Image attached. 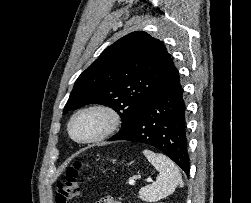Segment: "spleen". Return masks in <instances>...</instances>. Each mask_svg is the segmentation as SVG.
Returning <instances> with one entry per match:
<instances>
[{"label": "spleen", "mask_w": 251, "mask_h": 203, "mask_svg": "<svg viewBox=\"0 0 251 203\" xmlns=\"http://www.w3.org/2000/svg\"><path fill=\"white\" fill-rule=\"evenodd\" d=\"M143 154L159 172L154 183L140 189L139 196L143 201H158L172 194L178 185L183 186L179 169L170 158L151 150H144Z\"/></svg>", "instance_id": "spleen-1"}]
</instances>
